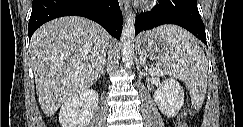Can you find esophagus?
<instances>
[{"label":"esophagus","instance_id":"esophagus-1","mask_svg":"<svg viewBox=\"0 0 243 127\" xmlns=\"http://www.w3.org/2000/svg\"><path fill=\"white\" fill-rule=\"evenodd\" d=\"M120 8L122 11V14L127 17L129 11H130V2L128 0H119Z\"/></svg>","mask_w":243,"mask_h":127}]
</instances>
